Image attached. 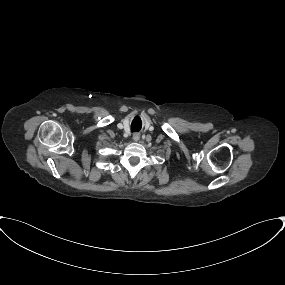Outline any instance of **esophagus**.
<instances>
[{"label": "esophagus", "instance_id": "obj_1", "mask_svg": "<svg viewBox=\"0 0 285 285\" xmlns=\"http://www.w3.org/2000/svg\"><path fill=\"white\" fill-rule=\"evenodd\" d=\"M139 139H140V134L139 133H135L133 135V140L137 142Z\"/></svg>", "mask_w": 285, "mask_h": 285}]
</instances>
